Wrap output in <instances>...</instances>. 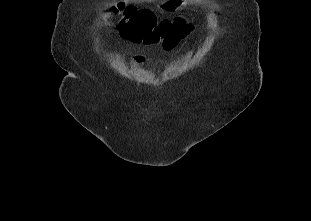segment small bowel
<instances>
[{
	"mask_svg": "<svg viewBox=\"0 0 311 221\" xmlns=\"http://www.w3.org/2000/svg\"><path fill=\"white\" fill-rule=\"evenodd\" d=\"M136 59H137L138 61H142V60H143L142 56H137Z\"/></svg>",
	"mask_w": 311,
	"mask_h": 221,
	"instance_id": "small-bowel-1",
	"label": "small bowel"
}]
</instances>
